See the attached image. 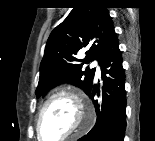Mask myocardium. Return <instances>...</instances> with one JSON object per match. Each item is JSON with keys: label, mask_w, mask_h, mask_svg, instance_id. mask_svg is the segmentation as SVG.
Returning <instances> with one entry per match:
<instances>
[{"label": "myocardium", "mask_w": 155, "mask_h": 141, "mask_svg": "<svg viewBox=\"0 0 155 141\" xmlns=\"http://www.w3.org/2000/svg\"><path fill=\"white\" fill-rule=\"evenodd\" d=\"M63 97L71 100V102L74 104V106L77 109V116H78V123L74 127L73 130L65 134L63 137H61L58 141H65L69 139L70 137H73L74 135L84 131L87 129L93 120V111L92 108L86 103V101L79 96L78 94L69 91V90H59L56 92H53L50 94L41 104L39 111L37 113L36 117V133L37 137L41 140H44L41 135L40 130V123H41V117L45 110V108L48 106V104L53 101L56 98Z\"/></svg>", "instance_id": "obj_1"}]
</instances>
